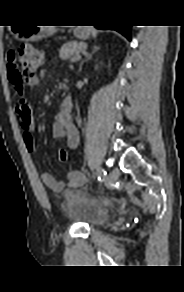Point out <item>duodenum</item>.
<instances>
[{
	"instance_id": "obj_1",
	"label": "duodenum",
	"mask_w": 184,
	"mask_h": 292,
	"mask_svg": "<svg viewBox=\"0 0 184 292\" xmlns=\"http://www.w3.org/2000/svg\"><path fill=\"white\" fill-rule=\"evenodd\" d=\"M71 105H72V99H71V97H66L62 101L60 108L62 110H67V109L71 108Z\"/></svg>"
}]
</instances>
